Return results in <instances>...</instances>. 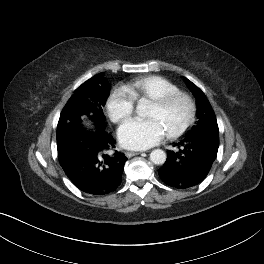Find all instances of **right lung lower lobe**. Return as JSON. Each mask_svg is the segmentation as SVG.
<instances>
[{
	"label": "right lung lower lobe",
	"mask_w": 264,
	"mask_h": 264,
	"mask_svg": "<svg viewBox=\"0 0 264 264\" xmlns=\"http://www.w3.org/2000/svg\"><path fill=\"white\" fill-rule=\"evenodd\" d=\"M94 128L79 124L57 139L58 158L67 177L81 191L104 195L121 183L124 153L114 150L115 140L105 124L94 121Z\"/></svg>",
	"instance_id": "98d812e1"
}]
</instances>
